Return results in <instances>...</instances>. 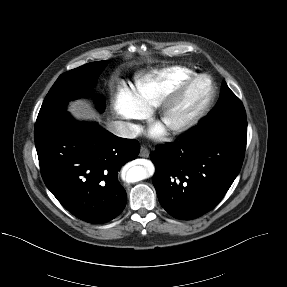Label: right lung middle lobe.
Returning a JSON list of instances; mask_svg holds the SVG:
<instances>
[{
	"mask_svg": "<svg viewBox=\"0 0 287 287\" xmlns=\"http://www.w3.org/2000/svg\"><path fill=\"white\" fill-rule=\"evenodd\" d=\"M106 63L107 61L92 62L62 74L43 101L37 122L50 119L65 111L71 99L90 95L97 75ZM97 107L103 111L104 100L99 98Z\"/></svg>",
	"mask_w": 287,
	"mask_h": 287,
	"instance_id": "right-lung-middle-lobe-1",
	"label": "right lung middle lobe"
}]
</instances>
